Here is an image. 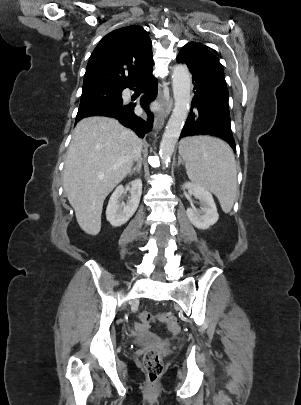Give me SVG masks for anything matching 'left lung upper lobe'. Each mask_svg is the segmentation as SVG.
Masks as SVG:
<instances>
[{
	"instance_id": "5c2ea615",
	"label": "left lung upper lobe",
	"mask_w": 301,
	"mask_h": 405,
	"mask_svg": "<svg viewBox=\"0 0 301 405\" xmlns=\"http://www.w3.org/2000/svg\"><path fill=\"white\" fill-rule=\"evenodd\" d=\"M178 57H183L198 65L226 85L221 64L216 56L210 52L205 45L196 42H189L182 48Z\"/></svg>"
}]
</instances>
